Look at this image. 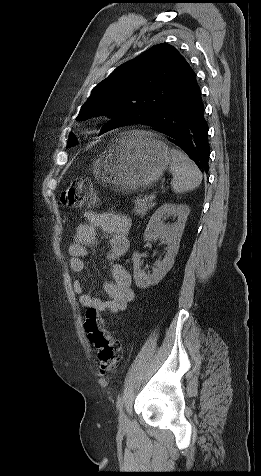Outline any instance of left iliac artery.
Masks as SVG:
<instances>
[{"mask_svg":"<svg viewBox=\"0 0 261 476\" xmlns=\"http://www.w3.org/2000/svg\"><path fill=\"white\" fill-rule=\"evenodd\" d=\"M124 399L122 396H119L116 402V406L118 410H121L123 407Z\"/></svg>","mask_w":261,"mask_h":476,"instance_id":"44dca946","label":"left iliac artery"}]
</instances>
